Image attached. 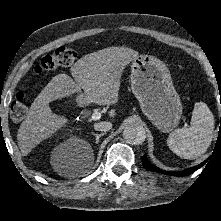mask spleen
Listing matches in <instances>:
<instances>
[{
	"instance_id": "1",
	"label": "spleen",
	"mask_w": 221,
	"mask_h": 221,
	"mask_svg": "<svg viewBox=\"0 0 221 221\" xmlns=\"http://www.w3.org/2000/svg\"><path fill=\"white\" fill-rule=\"evenodd\" d=\"M214 131V116L208 106L197 102L191 117V126L176 129L168 139L170 150L185 159H195L203 155L211 144Z\"/></svg>"
}]
</instances>
